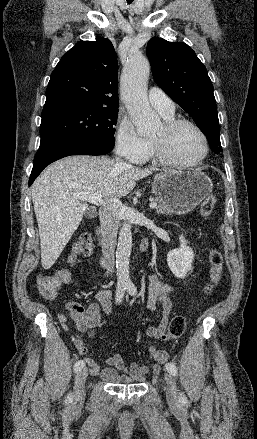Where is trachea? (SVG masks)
Returning <instances> with one entry per match:
<instances>
[{
  "label": "trachea",
  "instance_id": "1",
  "mask_svg": "<svg viewBox=\"0 0 257 439\" xmlns=\"http://www.w3.org/2000/svg\"><path fill=\"white\" fill-rule=\"evenodd\" d=\"M133 0H127L128 3H131Z\"/></svg>",
  "mask_w": 257,
  "mask_h": 439
}]
</instances>
